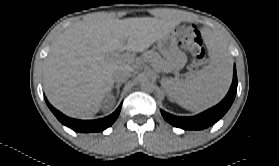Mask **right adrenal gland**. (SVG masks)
I'll return each instance as SVG.
<instances>
[{
  "mask_svg": "<svg viewBox=\"0 0 279 166\" xmlns=\"http://www.w3.org/2000/svg\"><path fill=\"white\" fill-rule=\"evenodd\" d=\"M122 85V82H120V83H117L113 88H116V95L118 96V94H119V91H120V86Z\"/></svg>",
  "mask_w": 279,
  "mask_h": 166,
  "instance_id": "obj_1",
  "label": "right adrenal gland"
}]
</instances>
